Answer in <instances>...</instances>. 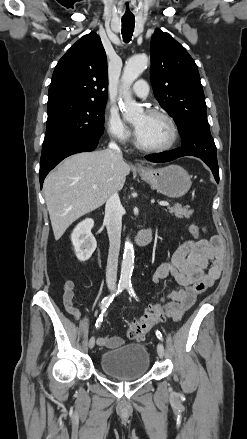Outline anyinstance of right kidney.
Segmentation results:
<instances>
[{"instance_id":"right-kidney-1","label":"right kidney","mask_w":247,"mask_h":439,"mask_svg":"<svg viewBox=\"0 0 247 439\" xmlns=\"http://www.w3.org/2000/svg\"><path fill=\"white\" fill-rule=\"evenodd\" d=\"M93 226L94 220L87 218L80 222L71 234V241L79 261H87L97 247V242L91 233Z\"/></svg>"}]
</instances>
